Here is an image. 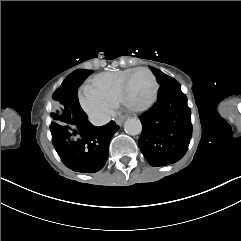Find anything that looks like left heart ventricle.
Returning a JSON list of instances; mask_svg holds the SVG:
<instances>
[{
    "label": "left heart ventricle",
    "instance_id": "left-heart-ventricle-1",
    "mask_svg": "<svg viewBox=\"0 0 241 241\" xmlns=\"http://www.w3.org/2000/svg\"><path fill=\"white\" fill-rule=\"evenodd\" d=\"M128 91V99L125 101L126 106L142 109L146 105V102L151 100L153 94L151 80L144 74L136 75L129 82Z\"/></svg>",
    "mask_w": 241,
    "mask_h": 241
}]
</instances>
